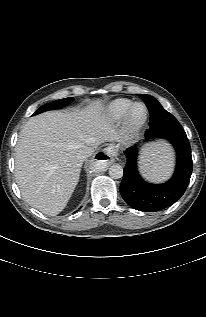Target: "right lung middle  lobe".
<instances>
[{
  "instance_id": "right-lung-middle-lobe-1",
  "label": "right lung middle lobe",
  "mask_w": 206,
  "mask_h": 317,
  "mask_svg": "<svg viewBox=\"0 0 206 317\" xmlns=\"http://www.w3.org/2000/svg\"><path fill=\"white\" fill-rule=\"evenodd\" d=\"M72 97L69 98H64V99H59L56 100L54 102L45 104L43 106H41L39 109L36 110V112L33 115H37L39 113L48 111V110H52V109H57L63 106H66L67 104H69L72 101Z\"/></svg>"
}]
</instances>
